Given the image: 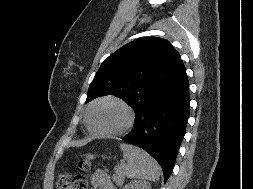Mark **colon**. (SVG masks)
Returning <instances> with one entry per match:
<instances>
[{
  "mask_svg": "<svg viewBox=\"0 0 253 189\" xmlns=\"http://www.w3.org/2000/svg\"><path fill=\"white\" fill-rule=\"evenodd\" d=\"M77 167L85 171L89 166L85 161H79ZM86 185V179L82 174L70 170L61 173L58 178L59 189H86Z\"/></svg>",
  "mask_w": 253,
  "mask_h": 189,
  "instance_id": "5ec220e1",
  "label": "colon"
}]
</instances>
